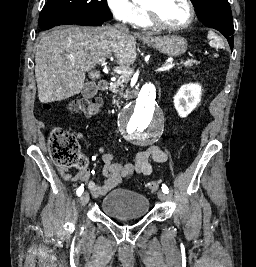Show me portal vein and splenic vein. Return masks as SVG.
Segmentation results:
<instances>
[{
	"label": "portal vein and splenic vein",
	"instance_id": "18ae733b",
	"mask_svg": "<svg viewBox=\"0 0 256 267\" xmlns=\"http://www.w3.org/2000/svg\"><path fill=\"white\" fill-rule=\"evenodd\" d=\"M100 64H102V66H105V60H101ZM172 66L173 64L165 63L163 68H161V70H170ZM132 71H133L132 67L123 68V66H120V68H115V70H113V72H117V74H131V76H133ZM156 71H160V68H156Z\"/></svg>",
	"mask_w": 256,
	"mask_h": 267
}]
</instances>
